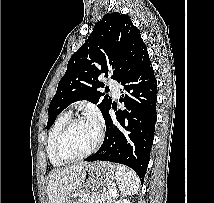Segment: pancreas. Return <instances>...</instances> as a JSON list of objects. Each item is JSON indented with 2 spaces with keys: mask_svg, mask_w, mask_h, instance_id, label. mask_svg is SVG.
Masks as SVG:
<instances>
[{
  "mask_svg": "<svg viewBox=\"0 0 214 203\" xmlns=\"http://www.w3.org/2000/svg\"><path fill=\"white\" fill-rule=\"evenodd\" d=\"M114 197L111 195L110 191L104 194L102 197L101 203H113ZM83 203H92L90 200Z\"/></svg>",
  "mask_w": 214,
  "mask_h": 203,
  "instance_id": "cf45deb5",
  "label": "pancreas"
}]
</instances>
